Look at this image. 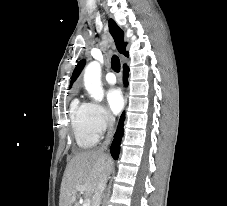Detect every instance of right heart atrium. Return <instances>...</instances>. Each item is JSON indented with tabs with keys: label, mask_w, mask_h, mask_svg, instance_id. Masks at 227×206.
<instances>
[{
	"label": "right heart atrium",
	"mask_w": 227,
	"mask_h": 206,
	"mask_svg": "<svg viewBox=\"0 0 227 206\" xmlns=\"http://www.w3.org/2000/svg\"><path fill=\"white\" fill-rule=\"evenodd\" d=\"M89 121L92 129L98 134L106 132L113 123L109 112L99 103H87Z\"/></svg>",
	"instance_id": "d8ad5b80"
}]
</instances>
